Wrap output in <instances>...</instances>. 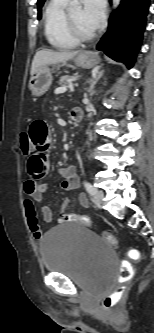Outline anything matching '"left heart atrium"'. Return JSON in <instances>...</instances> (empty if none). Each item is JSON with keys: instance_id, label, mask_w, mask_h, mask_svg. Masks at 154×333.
I'll return each instance as SVG.
<instances>
[{"instance_id": "obj_1", "label": "left heart atrium", "mask_w": 154, "mask_h": 333, "mask_svg": "<svg viewBox=\"0 0 154 333\" xmlns=\"http://www.w3.org/2000/svg\"><path fill=\"white\" fill-rule=\"evenodd\" d=\"M105 12V0H83L82 19L91 29H97L102 23Z\"/></svg>"}]
</instances>
